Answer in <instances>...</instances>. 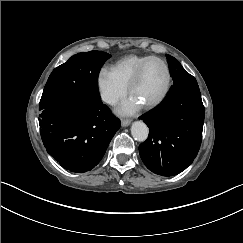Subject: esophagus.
<instances>
[{
	"instance_id": "obj_1",
	"label": "esophagus",
	"mask_w": 243,
	"mask_h": 243,
	"mask_svg": "<svg viewBox=\"0 0 243 243\" xmlns=\"http://www.w3.org/2000/svg\"><path fill=\"white\" fill-rule=\"evenodd\" d=\"M131 124V120L130 119H128V120H122L121 121V126L122 127H127V126H129Z\"/></svg>"
}]
</instances>
